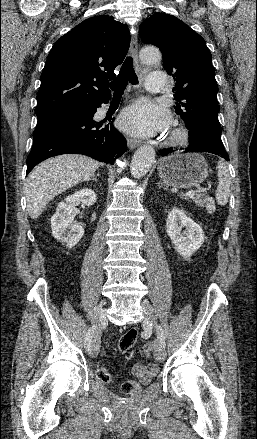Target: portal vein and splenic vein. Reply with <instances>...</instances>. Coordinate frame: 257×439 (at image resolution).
Here are the masks:
<instances>
[{"mask_svg": "<svg viewBox=\"0 0 257 439\" xmlns=\"http://www.w3.org/2000/svg\"><path fill=\"white\" fill-rule=\"evenodd\" d=\"M194 194H195V191L194 190H190V191L185 193V196L190 197V196H193Z\"/></svg>", "mask_w": 257, "mask_h": 439, "instance_id": "1", "label": "portal vein and splenic vein"}]
</instances>
